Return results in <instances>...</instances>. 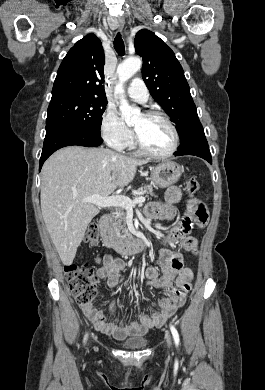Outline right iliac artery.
<instances>
[{"instance_id":"82829eb1","label":"right iliac artery","mask_w":265,"mask_h":390,"mask_svg":"<svg viewBox=\"0 0 265 390\" xmlns=\"http://www.w3.org/2000/svg\"><path fill=\"white\" fill-rule=\"evenodd\" d=\"M86 339H87V335H85V337H84V341H86Z\"/></svg>"}]
</instances>
